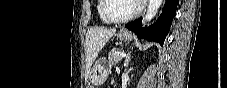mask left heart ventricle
<instances>
[{
    "mask_svg": "<svg viewBox=\"0 0 227 88\" xmlns=\"http://www.w3.org/2000/svg\"><path fill=\"white\" fill-rule=\"evenodd\" d=\"M137 4L136 0H109L106 12L114 19L125 18L136 10Z\"/></svg>",
    "mask_w": 227,
    "mask_h": 88,
    "instance_id": "obj_1",
    "label": "left heart ventricle"
}]
</instances>
